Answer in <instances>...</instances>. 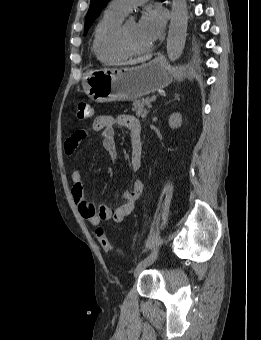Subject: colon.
I'll list each match as a JSON object with an SVG mask.
<instances>
[{
    "instance_id": "5ec220e1",
    "label": "colon",
    "mask_w": 261,
    "mask_h": 340,
    "mask_svg": "<svg viewBox=\"0 0 261 340\" xmlns=\"http://www.w3.org/2000/svg\"><path fill=\"white\" fill-rule=\"evenodd\" d=\"M94 114H95L94 108L87 103H79L76 106L75 116L79 120L92 118ZM96 236L100 246L105 252L115 251L111 241L109 240L105 230L102 227H98L96 229ZM116 252L119 253V251Z\"/></svg>"
}]
</instances>
